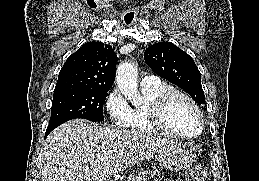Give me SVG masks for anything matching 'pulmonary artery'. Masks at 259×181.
Segmentation results:
<instances>
[{
    "mask_svg": "<svg viewBox=\"0 0 259 181\" xmlns=\"http://www.w3.org/2000/svg\"><path fill=\"white\" fill-rule=\"evenodd\" d=\"M160 80L158 77L153 76V75H146L142 78L140 85L141 86H148V85H153L159 82Z\"/></svg>",
    "mask_w": 259,
    "mask_h": 181,
    "instance_id": "pulmonary-artery-1",
    "label": "pulmonary artery"
}]
</instances>
